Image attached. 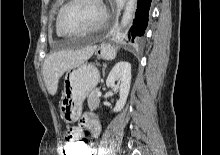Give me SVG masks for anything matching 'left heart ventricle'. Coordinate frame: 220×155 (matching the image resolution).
<instances>
[{
    "label": "left heart ventricle",
    "instance_id": "obj_1",
    "mask_svg": "<svg viewBox=\"0 0 220 155\" xmlns=\"http://www.w3.org/2000/svg\"><path fill=\"white\" fill-rule=\"evenodd\" d=\"M102 16L97 0H77L63 12L61 23L68 31L83 30L99 23Z\"/></svg>",
    "mask_w": 220,
    "mask_h": 155
}]
</instances>
